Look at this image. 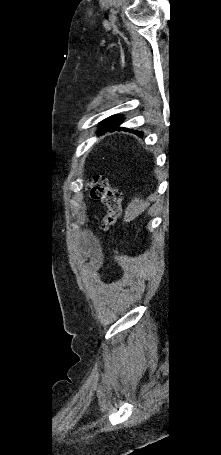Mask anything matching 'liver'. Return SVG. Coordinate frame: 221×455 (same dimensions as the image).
Here are the masks:
<instances>
[{
    "mask_svg": "<svg viewBox=\"0 0 221 455\" xmlns=\"http://www.w3.org/2000/svg\"><path fill=\"white\" fill-rule=\"evenodd\" d=\"M148 206V202L134 198L127 206L124 214V222H130L138 217Z\"/></svg>",
    "mask_w": 221,
    "mask_h": 455,
    "instance_id": "obj_1",
    "label": "liver"
}]
</instances>
